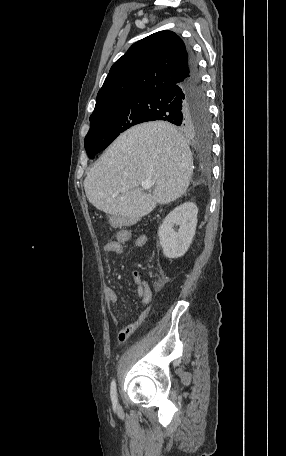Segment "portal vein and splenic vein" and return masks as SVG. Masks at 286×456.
<instances>
[{
  "instance_id": "1",
  "label": "portal vein and splenic vein",
  "mask_w": 286,
  "mask_h": 456,
  "mask_svg": "<svg viewBox=\"0 0 286 456\" xmlns=\"http://www.w3.org/2000/svg\"><path fill=\"white\" fill-rule=\"evenodd\" d=\"M141 186L145 190H149L154 186V182L151 180H145L141 183Z\"/></svg>"
}]
</instances>
